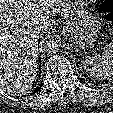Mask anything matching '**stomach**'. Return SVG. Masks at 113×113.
<instances>
[{
    "label": "stomach",
    "instance_id": "obj_1",
    "mask_svg": "<svg viewBox=\"0 0 113 113\" xmlns=\"http://www.w3.org/2000/svg\"><path fill=\"white\" fill-rule=\"evenodd\" d=\"M62 11L66 19L65 31L80 48L94 45L101 30L98 17L87 9L86 0H62Z\"/></svg>",
    "mask_w": 113,
    "mask_h": 113
}]
</instances>
